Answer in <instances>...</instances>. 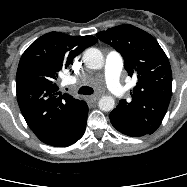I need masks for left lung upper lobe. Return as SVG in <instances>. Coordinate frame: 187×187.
Masks as SVG:
<instances>
[{"instance_id":"obj_1","label":"left lung upper lobe","mask_w":187,"mask_h":187,"mask_svg":"<svg viewBox=\"0 0 187 187\" xmlns=\"http://www.w3.org/2000/svg\"><path fill=\"white\" fill-rule=\"evenodd\" d=\"M96 35L121 53L129 76L137 77L131 102L121 100L113 111L152 134L160 126L172 94V72L165 52L152 35L129 24Z\"/></svg>"}]
</instances>
